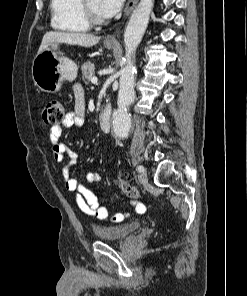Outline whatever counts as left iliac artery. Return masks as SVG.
Masks as SVG:
<instances>
[{"label": "left iliac artery", "instance_id": "1", "mask_svg": "<svg viewBox=\"0 0 247 296\" xmlns=\"http://www.w3.org/2000/svg\"><path fill=\"white\" fill-rule=\"evenodd\" d=\"M143 170H144V167H143V166H138V167H137V171H138V172H142Z\"/></svg>", "mask_w": 247, "mask_h": 296}]
</instances>
